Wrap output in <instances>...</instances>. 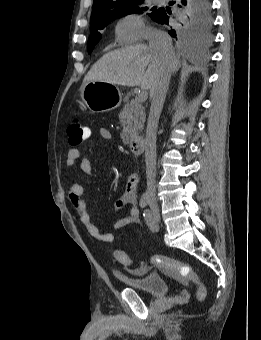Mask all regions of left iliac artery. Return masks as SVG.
Segmentation results:
<instances>
[{
    "label": "left iliac artery",
    "mask_w": 261,
    "mask_h": 340,
    "mask_svg": "<svg viewBox=\"0 0 261 340\" xmlns=\"http://www.w3.org/2000/svg\"><path fill=\"white\" fill-rule=\"evenodd\" d=\"M143 216H144V218H145V221H146L148 227H149L150 229H153V227H154V222H153V217H152L151 212H150L148 209H146V210H144Z\"/></svg>",
    "instance_id": "obj_1"
}]
</instances>
